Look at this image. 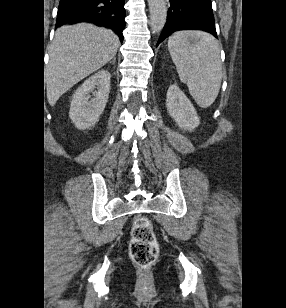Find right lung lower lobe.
Here are the masks:
<instances>
[{
	"mask_svg": "<svg viewBox=\"0 0 286 308\" xmlns=\"http://www.w3.org/2000/svg\"><path fill=\"white\" fill-rule=\"evenodd\" d=\"M125 16L124 0H60L56 28L67 23H94L114 30L122 42Z\"/></svg>",
	"mask_w": 286,
	"mask_h": 308,
	"instance_id": "right-lung-lower-lobe-1",
	"label": "right lung lower lobe"
}]
</instances>
